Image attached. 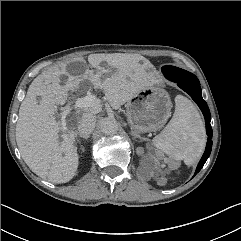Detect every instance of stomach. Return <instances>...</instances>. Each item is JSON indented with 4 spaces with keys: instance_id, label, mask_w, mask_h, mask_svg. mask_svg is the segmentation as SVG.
<instances>
[{
    "instance_id": "obj_1",
    "label": "stomach",
    "mask_w": 241,
    "mask_h": 241,
    "mask_svg": "<svg viewBox=\"0 0 241 241\" xmlns=\"http://www.w3.org/2000/svg\"><path fill=\"white\" fill-rule=\"evenodd\" d=\"M170 115V96L157 86L143 89L126 103L128 123L138 133L160 130Z\"/></svg>"
}]
</instances>
